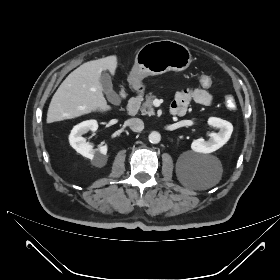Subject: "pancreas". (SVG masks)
<instances>
[{
    "label": "pancreas",
    "instance_id": "cf45deb5",
    "mask_svg": "<svg viewBox=\"0 0 280 280\" xmlns=\"http://www.w3.org/2000/svg\"><path fill=\"white\" fill-rule=\"evenodd\" d=\"M156 98L155 95L152 93H149L145 97V102L142 104L140 111L142 115H154V108H153V100Z\"/></svg>",
    "mask_w": 280,
    "mask_h": 280
}]
</instances>
